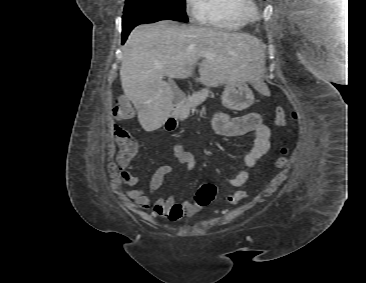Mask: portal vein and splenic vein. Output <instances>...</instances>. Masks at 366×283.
Instances as JSON below:
<instances>
[{
    "label": "portal vein and splenic vein",
    "mask_w": 366,
    "mask_h": 283,
    "mask_svg": "<svg viewBox=\"0 0 366 283\" xmlns=\"http://www.w3.org/2000/svg\"><path fill=\"white\" fill-rule=\"evenodd\" d=\"M201 55H204V56H208L209 53L208 52H201L200 53ZM158 68H162L163 66L162 65H157Z\"/></svg>",
    "instance_id": "obj_1"
}]
</instances>
